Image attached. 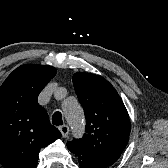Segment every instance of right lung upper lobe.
<instances>
[{
  "instance_id": "right-lung-upper-lobe-1",
  "label": "right lung upper lobe",
  "mask_w": 168,
  "mask_h": 168,
  "mask_svg": "<svg viewBox=\"0 0 168 168\" xmlns=\"http://www.w3.org/2000/svg\"><path fill=\"white\" fill-rule=\"evenodd\" d=\"M48 65L15 69L0 87V163L6 168H35L42 147L61 137L37 98L55 76Z\"/></svg>"
}]
</instances>
